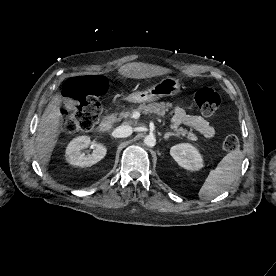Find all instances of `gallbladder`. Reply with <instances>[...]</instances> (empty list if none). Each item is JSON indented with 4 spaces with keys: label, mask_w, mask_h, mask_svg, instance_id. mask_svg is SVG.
Masks as SVG:
<instances>
[{
    "label": "gallbladder",
    "mask_w": 276,
    "mask_h": 276,
    "mask_svg": "<svg viewBox=\"0 0 276 276\" xmlns=\"http://www.w3.org/2000/svg\"><path fill=\"white\" fill-rule=\"evenodd\" d=\"M65 103L70 109H74V107H75V101L74 100H72V99L66 100Z\"/></svg>",
    "instance_id": "gallbladder-1"
}]
</instances>
